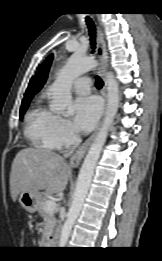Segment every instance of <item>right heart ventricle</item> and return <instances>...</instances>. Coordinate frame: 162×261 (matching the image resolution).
I'll list each match as a JSON object with an SVG mask.
<instances>
[{"mask_svg":"<svg viewBox=\"0 0 162 261\" xmlns=\"http://www.w3.org/2000/svg\"><path fill=\"white\" fill-rule=\"evenodd\" d=\"M56 114L46 108L38 99L26 116L25 134L36 147L43 149L57 148L54 144L51 128Z\"/></svg>","mask_w":162,"mask_h":261,"instance_id":"1","label":"right heart ventricle"}]
</instances>
